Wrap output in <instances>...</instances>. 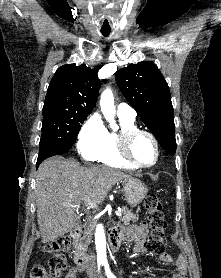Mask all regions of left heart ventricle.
Masks as SVG:
<instances>
[{"instance_id": "obj_1", "label": "left heart ventricle", "mask_w": 221, "mask_h": 278, "mask_svg": "<svg viewBox=\"0 0 221 278\" xmlns=\"http://www.w3.org/2000/svg\"><path fill=\"white\" fill-rule=\"evenodd\" d=\"M132 158L143 165H150L155 161L156 150L151 139L146 135H138L131 146Z\"/></svg>"}]
</instances>
